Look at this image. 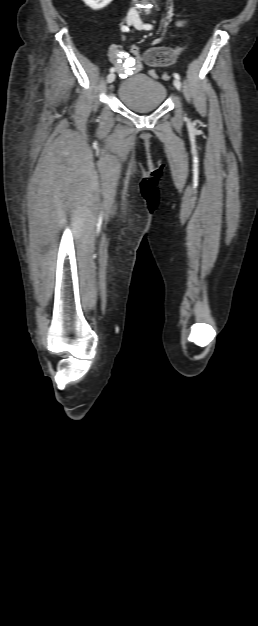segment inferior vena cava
<instances>
[{
  "mask_svg": "<svg viewBox=\"0 0 258 626\" xmlns=\"http://www.w3.org/2000/svg\"><path fill=\"white\" fill-rule=\"evenodd\" d=\"M134 1H136V0H134ZM128 15H129V16H132V17H136V16H138V12L136 11V9H135V8H131V9L129 10Z\"/></svg>",
  "mask_w": 258,
  "mask_h": 626,
  "instance_id": "1",
  "label": "inferior vena cava"
}]
</instances>
